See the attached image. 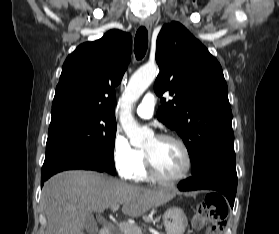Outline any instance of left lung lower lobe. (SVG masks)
I'll use <instances>...</instances> for the list:
<instances>
[{"mask_svg": "<svg viewBox=\"0 0 279 234\" xmlns=\"http://www.w3.org/2000/svg\"><path fill=\"white\" fill-rule=\"evenodd\" d=\"M182 191L213 189L221 192L233 208L236 190L237 173L234 158H220L203 167L198 173L178 184Z\"/></svg>", "mask_w": 279, "mask_h": 234, "instance_id": "1", "label": "left lung lower lobe"}]
</instances>
